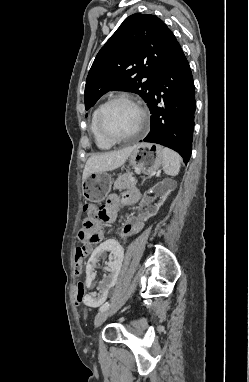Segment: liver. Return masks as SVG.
<instances>
[{
    "mask_svg": "<svg viewBox=\"0 0 249 382\" xmlns=\"http://www.w3.org/2000/svg\"><path fill=\"white\" fill-rule=\"evenodd\" d=\"M133 151V147H126L118 151L92 155L86 162L82 179L85 180L94 172H106L122 166Z\"/></svg>",
    "mask_w": 249,
    "mask_h": 382,
    "instance_id": "6515ba94",
    "label": "liver"
}]
</instances>
